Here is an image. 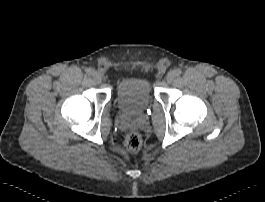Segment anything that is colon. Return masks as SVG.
<instances>
[{
    "label": "colon",
    "instance_id": "5ec220e1",
    "mask_svg": "<svg viewBox=\"0 0 265 202\" xmlns=\"http://www.w3.org/2000/svg\"><path fill=\"white\" fill-rule=\"evenodd\" d=\"M125 146L130 153H135L139 151L142 146L141 134L138 132L129 133L125 139Z\"/></svg>",
    "mask_w": 265,
    "mask_h": 202
}]
</instances>
